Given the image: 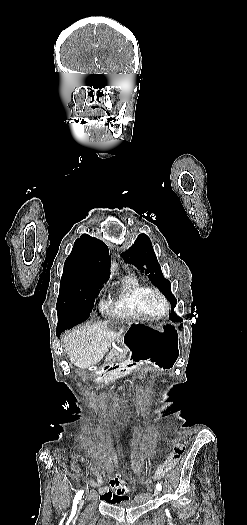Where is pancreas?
Instances as JSON below:
<instances>
[{"label": "pancreas", "instance_id": "1", "mask_svg": "<svg viewBox=\"0 0 247 525\" xmlns=\"http://www.w3.org/2000/svg\"><path fill=\"white\" fill-rule=\"evenodd\" d=\"M117 355V358L116 356ZM107 361H127L131 359L128 349H117V352H109V355H105Z\"/></svg>", "mask_w": 247, "mask_h": 525}]
</instances>
